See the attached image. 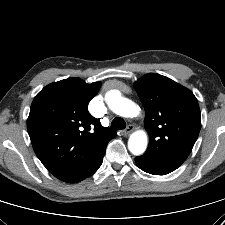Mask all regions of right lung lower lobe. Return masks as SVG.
Returning a JSON list of instances; mask_svg holds the SVG:
<instances>
[{"label":"right lung lower lobe","instance_id":"obj_1","mask_svg":"<svg viewBox=\"0 0 225 225\" xmlns=\"http://www.w3.org/2000/svg\"><path fill=\"white\" fill-rule=\"evenodd\" d=\"M106 146H107V144L101 149V151H100V153L98 155L97 162L94 164L93 168L88 173L84 174L83 176H81V177H79V178H77L75 180L67 181V183L80 182V181L84 180L85 178L89 177L90 175H92L93 173H95L98 170V168L101 166V164H102Z\"/></svg>","mask_w":225,"mask_h":225}]
</instances>
